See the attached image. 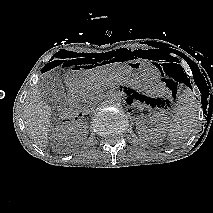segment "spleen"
<instances>
[{
	"mask_svg": "<svg viewBox=\"0 0 213 213\" xmlns=\"http://www.w3.org/2000/svg\"><path fill=\"white\" fill-rule=\"evenodd\" d=\"M201 105L190 89H186L178 99L176 114L170 123L168 141L177 145L189 138L198 121Z\"/></svg>",
	"mask_w": 213,
	"mask_h": 213,
	"instance_id": "obj_1",
	"label": "spleen"
}]
</instances>
